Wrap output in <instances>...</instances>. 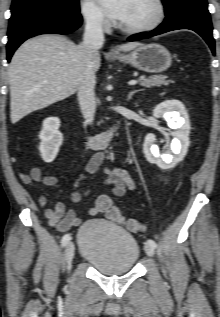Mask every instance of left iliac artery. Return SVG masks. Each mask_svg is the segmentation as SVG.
<instances>
[{
	"instance_id": "1",
	"label": "left iliac artery",
	"mask_w": 220,
	"mask_h": 317,
	"mask_svg": "<svg viewBox=\"0 0 220 317\" xmlns=\"http://www.w3.org/2000/svg\"><path fill=\"white\" fill-rule=\"evenodd\" d=\"M147 243H148L149 245H151L153 248H156V247H157L156 242H155L154 240H152V239H148V240H147Z\"/></svg>"
}]
</instances>
